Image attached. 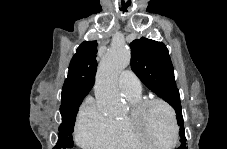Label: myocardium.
I'll return each mask as SVG.
<instances>
[{"label": "myocardium", "instance_id": "1", "mask_svg": "<svg viewBox=\"0 0 227 149\" xmlns=\"http://www.w3.org/2000/svg\"><path fill=\"white\" fill-rule=\"evenodd\" d=\"M152 105H161L165 107L171 117L173 124V139L169 144H158L151 141L143 131V118L144 114ZM129 127L133 134L146 146L151 147H173L178 142L179 125L174 108L166 101L158 98L143 99L137 104L133 105L130 115L127 117Z\"/></svg>", "mask_w": 227, "mask_h": 149}]
</instances>
